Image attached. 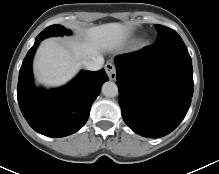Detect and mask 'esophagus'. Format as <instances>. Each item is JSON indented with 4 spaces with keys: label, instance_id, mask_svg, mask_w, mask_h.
<instances>
[{
    "label": "esophagus",
    "instance_id": "obj_1",
    "mask_svg": "<svg viewBox=\"0 0 219 174\" xmlns=\"http://www.w3.org/2000/svg\"><path fill=\"white\" fill-rule=\"evenodd\" d=\"M105 70H106V73H107L109 79L110 80H115V78H116L115 66L112 63L108 62L105 65Z\"/></svg>",
    "mask_w": 219,
    "mask_h": 174
}]
</instances>
